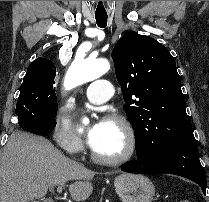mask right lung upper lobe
<instances>
[{"label": "right lung upper lobe", "mask_w": 209, "mask_h": 202, "mask_svg": "<svg viewBox=\"0 0 209 202\" xmlns=\"http://www.w3.org/2000/svg\"><path fill=\"white\" fill-rule=\"evenodd\" d=\"M36 74L56 75V67L53 62L47 58H37L28 66L24 78Z\"/></svg>", "instance_id": "obj_1"}]
</instances>
